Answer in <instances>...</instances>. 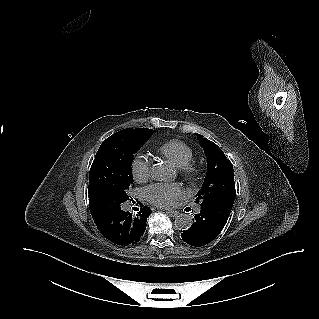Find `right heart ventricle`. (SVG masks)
I'll return each mask as SVG.
<instances>
[{
  "instance_id": "e07e8e85",
  "label": "right heart ventricle",
  "mask_w": 319,
  "mask_h": 319,
  "mask_svg": "<svg viewBox=\"0 0 319 319\" xmlns=\"http://www.w3.org/2000/svg\"><path fill=\"white\" fill-rule=\"evenodd\" d=\"M158 151L176 167L185 166L193 159L192 149L180 140L167 141L159 147Z\"/></svg>"
}]
</instances>
